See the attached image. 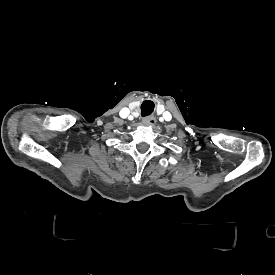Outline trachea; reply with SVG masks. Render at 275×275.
Segmentation results:
<instances>
[{"label":"trachea","instance_id":"trachea-1","mask_svg":"<svg viewBox=\"0 0 275 275\" xmlns=\"http://www.w3.org/2000/svg\"><path fill=\"white\" fill-rule=\"evenodd\" d=\"M154 111V103L150 100L144 101L141 105V116L146 117Z\"/></svg>","mask_w":275,"mask_h":275}]
</instances>
